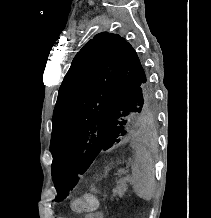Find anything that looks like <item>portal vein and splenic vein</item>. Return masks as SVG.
Here are the masks:
<instances>
[{
  "instance_id": "portal-vein-and-splenic-vein-1",
  "label": "portal vein and splenic vein",
  "mask_w": 211,
  "mask_h": 218,
  "mask_svg": "<svg viewBox=\"0 0 211 218\" xmlns=\"http://www.w3.org/2000/svg\"><path fill=\"white\" fill-rule=\"evenodd\" d=\"M123 174L128 175V171L123 172Z\"/></svg>"
}]
</instances>
